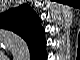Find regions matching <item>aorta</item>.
I'll list each match as a JSON object with an SVG mask.
<instances>
[{
  "label": "aorta",
  "instance_id": "1",
  "mask_svg": "<svg viewBox=\"0 0 80 60\" xmlns=\"http://www.w3.org/2000/svg\"><path fill=\"white\" fill-rule=\"evenodd\" d=\"M7 47L14 53H26L28 52V47L26 42L19 36L6 32L3 35Z\"/></svg>",
  "mask_w": 80,
  "mask_h": 60
}]
</instances>
